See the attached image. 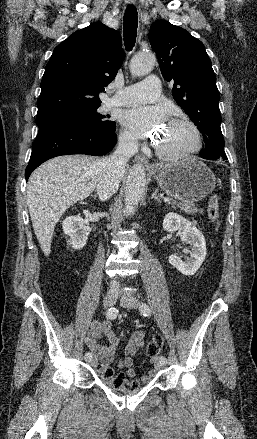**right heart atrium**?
<instances>
[{
  "label": "right heart atrium",
  "mask_w": 257,
  "mask_h": 439,
  "mask_svg": "<svg viewBox=\"0 0 257 439\" xmlns=\"http://www.w3.org/2000/svg\"><path fill=\"white\" fill-rule=\"evenodd\" d=\"M119 143L122 149L128 153H132L137 144L135 137L127 130H124L120 133Z\"/></svg>",
  "instance_id": "obj_1"
}]
</instances>
